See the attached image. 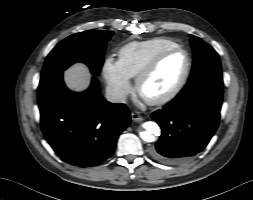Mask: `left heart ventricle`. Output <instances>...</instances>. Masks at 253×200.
<instances>
[{
	"instance_id": "1",
	"label": "left heart ventricle",
	"mask_w": 253,
	"mask_h": 200,
	"mask_svg": "<svg viewBox=\"0 0 253 200\" xmlns=\"http://www.w3.org/2000/svg\"><path fill=\"white\" fill-rule=\"evenodd\" d=\"M186 67L182 52H173L162 59L152 74L141 86V94L147 99L161 97L168 93L180 80Z\"/></svg>"
}]
</instances>
